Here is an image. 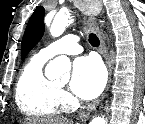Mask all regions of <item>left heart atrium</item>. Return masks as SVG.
<instances>
[{
	"mask_svg": "<svg viewBox=\"0 0 145 124\" xmlns=\"http://www.w3.org/2000/svg\"><path fill=\"white\" fill-rule=\"evenodd\" d=\"M106 82L101 62L94 56L77 58L73 63L71 90L80 98L90 100L98 96Z\"/></svg>",
	"mask_w": 145,
	"mask_h": 124,
	"instance_id": "left-heart-atrium-1",
	"label": "left heart atrium"
}]
</instances>
